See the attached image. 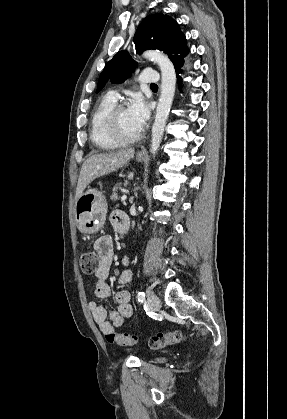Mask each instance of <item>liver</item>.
<instances>
[{
  "label": "liver",
  "instance_id": "6515ba94",
  "mask_svg": "<svg viewBox=\"0 0 287 419\" xmlns=\"http://www.w3.org/2000/svg\"><path fill=\"white\" fill-rule=\"evenodd\" d=\"M133 156L134 149H124L89 156L84 161L80 171L75 200L77 201L82 196L84 190L92 181L117 171L124 164L128 163Z\"/></svg>",
  "mask_w": 287,
  "mask_h": 419
}]
</instances>
